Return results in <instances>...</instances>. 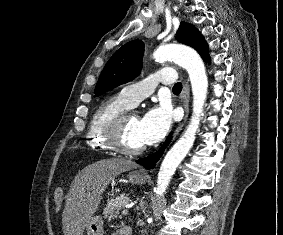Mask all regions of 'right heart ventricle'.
<instances>
[{
  "label": "right heart ventricle",
  "instance_id": "1",
  "mask_svg": "<svg viewBox=\"0 0 283 235\" xmlns=\"http://www.w3.org/2000/svg\"><path fill=\"white\" fill-rule=\"evenodd\" d=\"M131 106L121 94L103 101L94 111L86 133L88 148L98 151L110 150L106 142L104 131L108 123L119 114L127 111Z\"/></svg>",
  "mask_w": 283,
  "mask_h": 235
}]
</instances>
